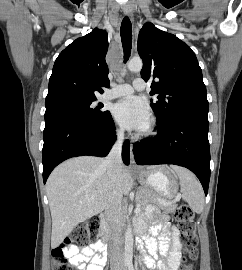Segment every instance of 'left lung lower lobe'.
<instances>
[{"label": "left lung lower lobe", "mask_w": 242, "mask_h": 270, "mask_svg": "<svg viewBox=\"0 0 242 270\" xmlns=\"http://www.w3.org/2000/svg\"><path fill=\"white\" fill-rule=\"evenodd\" d=\"M209 121L206 113L180 114L157 124L158 135L133 147L138 165L174 164L190 169L200 180L205 195L210 180Z\"/></svg>", "instance_id": "1"}]
</instances>
